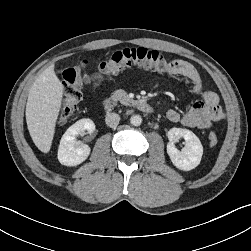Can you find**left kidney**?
Returning <instances> with one entry per match:
<instances>
[{
	"instance_id": "5707ae66",
	"label": "left kidney",
	"mask_w": 251,
	"mask_h": 251,
	"mask_svg": "<svg viewBox=\"0 0 251 251\" xmlns=\"http://www.w3.org/2000/svg\"><path fill=\"white\" fill-rule=\"evenodd\" d=\"M167 153L178 169L189 171L196 168L203 155V146L199 138L190 130L182 128H172L168 131ZM184 138L185 146L179 151L175 147L178 138Z\"/></svg>"
}]
</instances>
